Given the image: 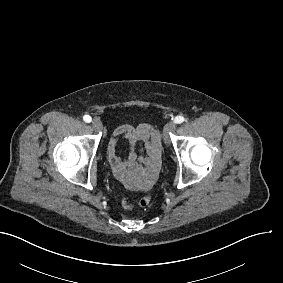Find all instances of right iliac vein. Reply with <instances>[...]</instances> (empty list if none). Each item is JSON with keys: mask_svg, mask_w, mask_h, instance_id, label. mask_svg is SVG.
Instances as JSON below:
<instances>
[{"mask_svg": "<svg viewBox=\"0 0 283 283\" xmlns=\"http://www.w3.org/2000/svg\"><path fill=\"white\" fill-rule=\"evenodd\" d=\"M92 127L96 130V131H101L102 130V123L100 120L98 119H94L92 121Z\"/></svg>", "mask_w": 283, "mask_h": 283, "instance_id": "obj_1", "label": "right iliac vein"}]
</instances>
